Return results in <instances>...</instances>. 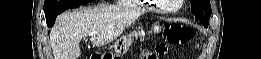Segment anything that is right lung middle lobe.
<instances>
[{
	"mask_svg": "<svg viewBox=\"0 0 261 59\" xmlns=\"http://www.w3.org/2000/svg\"><path fill=\"white\" fill-rule=\"evenodd\" d=\"M93 0H45L44 12L45 16H51L63 8L70 5H83L92 2Z\"/></svg>",
	"mask_w": 261,
	"mask_h": 59,
	"instance_id": "right-lung-middle-lobe-1",
	"label": "right lung middle lobe"
}]
</instances>
